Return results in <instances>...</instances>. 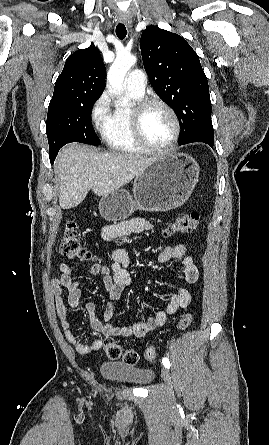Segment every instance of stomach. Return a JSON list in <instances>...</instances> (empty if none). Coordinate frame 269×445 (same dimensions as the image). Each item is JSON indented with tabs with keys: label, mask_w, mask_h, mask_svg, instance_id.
<instances>
[{
	"label": "stomach",
	"mask_w": 269,
	"mask_h": 445,
	"mask_svg": "<svg viewBox=\"0 0 269 445\" xmlns=\"http://www.w3.org/2000/svg\"><path fill=\"white\" fill-rule=\"evenodd\" d=\"M199 166L183 153L156 158L133 183V196L118 189L99 202L101 216L112 222L127 219L135 210L164 212L182 206L190 197L199 177Z\"/></svg>",
	"instance_id": "obj_1"
}]
</instances>
